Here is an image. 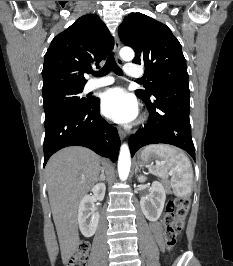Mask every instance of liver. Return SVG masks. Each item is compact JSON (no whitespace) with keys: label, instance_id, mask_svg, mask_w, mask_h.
Wrapping results in <instances>:
<instances>
[{"label":"liver","instance_id":"6515ba94","mask_svg":"<svg viewBox=\"0 0 233 266\" xmlns=\"http://www.w3.org/2000/svg\"><path fill=\"white\" fill-rule=\"evenodd\" d=\"M101 163L106 162L90 149L71 146L55 153L46 165L49 202L64 262L78 245L79 202L97 182Z\"/></svg>","mask_w":233,"mask_h":266}]
</instances>
